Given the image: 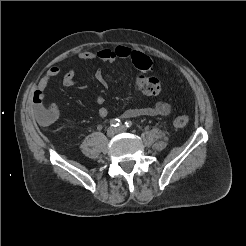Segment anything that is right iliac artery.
Masks as SVG:
<instances>
[{
  "mask_svg": "<svg viewBox=\"0 0 246 246\" xmlns=\"http://www.w3.org/2000/svg\"><path fill=\"white\" fill-rule=\"evenodd\" d=\"M121 124V121H120V119H112V120H110V125L111 126H113V127H117V126H119Z\"/></svg>",
  "mask_w": 246,
  "mask_h": 246,
  "instance_id": "82829eb1",
  "label": "right iliac artery"
}]
</instances>
